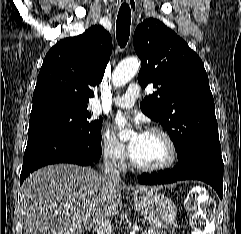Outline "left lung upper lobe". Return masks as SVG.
<instances>
[{"label":"left lung upper lobe","mask_w":241,"mask_h":234,"mask_svg":"<svg viewBox=\"0 0 241 234\" xmlns=\"http://www.w3.org/2000/svg\"><path fill=\"white\" fill-rule=\"evenodd\" d=\"M133 41L142 62L138 82L143 88L151 82L157 88L140 108L167 130L178 160L196 149L220 151L215 105L199 56L153 18L138 25Z\"/></svg>","instance_id":"1"}]
</instances>
